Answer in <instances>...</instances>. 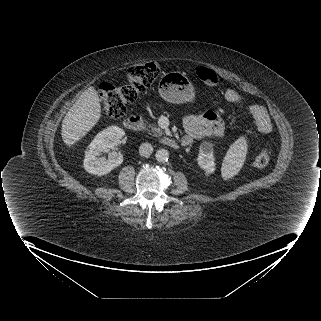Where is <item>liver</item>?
<instances>
[{
	"label": "liver",
	"instance_id": "6515ba94",
	"mask_svg": "<svg viewBox=\"0 0 321 321\" xmlns=\"http://www.w3.org/2000/svg\"><path fill=\"white\" fill-rule=\"evenodd\" d=\"M100 99L94 87L86 89L62 121L61 135L67 147L83 138L102 116Z\"/></svg>",
	"mask_w": 321,
	"mask_h": 321
}]
</instances>
